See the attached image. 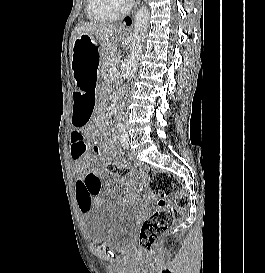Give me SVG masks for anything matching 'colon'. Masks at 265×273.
I'll list each match as a JSON object with an SVG mask.
<instances>
[{"label": "colon", "mask_w": 265, "mask_h": 273, "mask_svg": "<svg viewBox=\"0 0 265 273\" xmlns=\"http://www.w3.org/2000/svg\"><path fill=\"white\" fill-rule=\"evenodd\" d=\"M93 150L96 155H100L101 151L98 146L95 145ZM106 169L117 176L133 174L144 179L153 196L158 199V209L144 220L137 240L142 250H151L175 220L184 215L189 199L183 193L181 183L169 172L155 171L150 168L132 170L115 164H107Z\"/></svg>", "instance_id": "obj_1"}]
</instances>
